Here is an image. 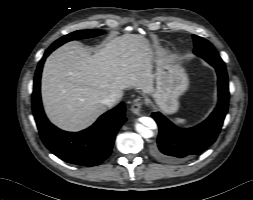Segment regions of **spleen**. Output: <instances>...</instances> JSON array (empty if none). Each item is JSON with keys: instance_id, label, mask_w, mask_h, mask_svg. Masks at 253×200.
<instances>
[{"instance_id": "3e777b00", "label": "spleen", "mask_w": 253, "mask_h": 200, "mask_svg": "<svg viewBox=\"0 0 253 200\" xmlns=\"http://www.w3.org/2000/svg\"><path fill=\"white\" fill-rule=\"evenodd\" d=\"M176 121H177L178 124H186V122H187L186 120H184V119H179V118L176 119Z\"/></svg>"}]
</instances>
